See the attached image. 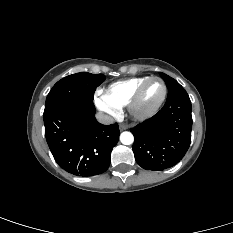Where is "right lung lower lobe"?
I'll return each mask as SVG.
<instances>
[{"instance_id":"obj_1","label":"right lung lower lobe","mask_w":233,"mask_h":233,"mask_svg":"<svg viewBox=\"0 0 233 233\" xmlns=\"http://www.w3.org/2000/svg\"><path fill=\"white\" fill-rule=\"evenodd\" d=\"M45 135L57 164L77 176L105 172L120 131L95 119L92 100L76 99L44 112Z\"/></svg>"}]
</instances>
